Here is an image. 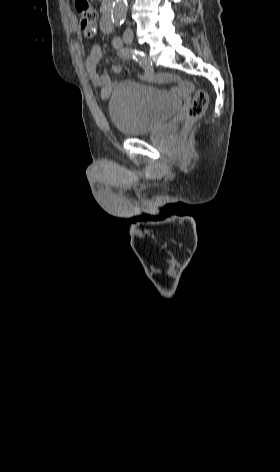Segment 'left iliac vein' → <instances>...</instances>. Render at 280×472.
<instances>
[{
	"instance_id": "4c4485c4",
	"label": "left iliac vein",
	"mask_w": 280,
	"mask_h": 472,
	"mask_svg": "<svg viewBox=\"0 0 280 472\" xmlns=\"http://www.w3.org/2000/svg\"><path fill=\"white\" fill-rule=\"evenodd\" d=\"M123 40L126 44H130L132 42V35L130 33L126 32L123 35Z\"/></svg>"
}]
</instances>
